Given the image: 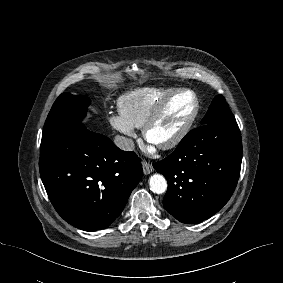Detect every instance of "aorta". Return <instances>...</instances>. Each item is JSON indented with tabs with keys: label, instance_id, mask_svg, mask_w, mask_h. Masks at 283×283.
Masks as SVG:
<instances>
[{
	"label": "aorta",
	"instance_id": "762f6f07",
	"mask_svg": "<svg viewBox=\"0 0 283 283\" xmlns=\"http://www.w3.org/2000/svg\"><path fill=\"white\" fill-rule=\"evenodd\" d=\"M150 189L156 194H162L167 190V181L161 174H154L149 180Z\"/></svg>",
	"mask_w": 283,
	"mask_h": 283
}]
</instances>
